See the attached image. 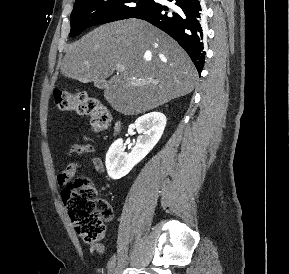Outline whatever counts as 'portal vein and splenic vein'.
<instances>
[{"label":"portal vein and splenic vein","instance_id":"obj_1","mask_svg":"<svg viewBox=\"0 0 289 274\" xmlns=\"http://www.w3.org/2000/svg\"><path fill=\"white\" fill-rule=\"evenodd\" d=\"M124 69V67L123 66H119V67H117V71L119 72V71H122Z\"/></svg>","mask_w":289,"mask_h":274}]
</instances>
